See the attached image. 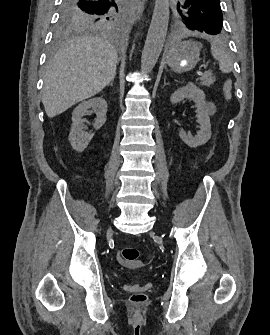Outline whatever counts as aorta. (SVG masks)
<instances>
[{
  "mask_svg": "<svg viewBox=\"0 0 270 335\" xmlns=\"http://www.w3.org/2000/svg\"><path fill=\"white\" fill-rule=\"evenodd\" d=\"M169 22V0H156L141 58V70L148 74L154 68L164 46Z\"/></svg>",
  "mask_w": 270,
  "mask_h": 335,
  "instance_id": "1",
  "label": "aorta"
}]
</instances>
